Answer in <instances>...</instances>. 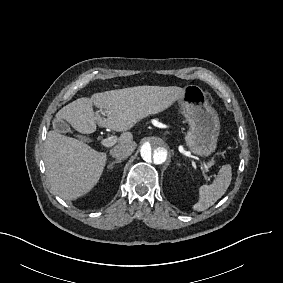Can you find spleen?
<instances>
[{
    "mask_svg": "<svg viewBox=\"0 0 283 283\" xmlns=\"http://www.w3.org/2000/svg\"><path fill=\"white\" fill-rule=\"evenodd\" d=\"M232 180V169L229 164L223 165L219 170L217 178L211 185H202L199 188V201L194 204L193 209L204 211L220 199L228 189Z\"/></svg>",
    "mask_w": 283,
    "mask_h": 283,
    "instance_id": "1",
    "label": "spleen"
}]
</instances>
